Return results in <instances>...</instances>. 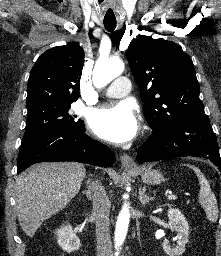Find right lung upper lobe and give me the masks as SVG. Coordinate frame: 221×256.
Listing matches in <instances>:
<instances>
[{
  "label": "right lung upper lobe",
  "instance_id": "obj_1",
  "mask_svg": "<svg viewBox=\"0 0 221 256\" xmlns=\"http://www.w3.org/2000/svg\"><path fill=\"white\" fill-rule=\"evenodd\" d=\"M84 51L76 43L45 51L31 70L27 109L44 104L66 105L78 98Z\"/></svg>",
  "mask_w": 221,
  "mask_h": 256
}]
</instances>
